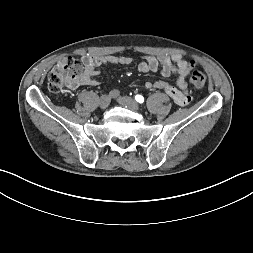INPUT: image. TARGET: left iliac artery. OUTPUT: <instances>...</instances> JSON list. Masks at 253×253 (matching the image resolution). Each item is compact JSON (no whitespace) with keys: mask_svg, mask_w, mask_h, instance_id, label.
I'll list each match as a JSON object with an SVG mask.
<instances>
[{"mask_svg":"<svg viewBox=\"0 0 253 253\" xmlns=\"http://www.w3.org/2000/svg\"><path fill=\"white\" fill-rule=\"evenodd\" d=\"M135 100L139 103H143L144 102V98L142 95H136L135 96Z\"/></svg>","mask_w":253,"mask_h":253,"instance_id":"obj_1","label":"left iliac artery"}]
</instances>
